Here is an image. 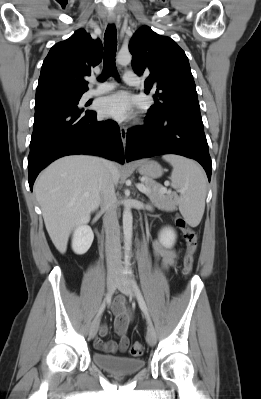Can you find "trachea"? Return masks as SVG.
Wrapping results in <instances>:
<instances>
[{
    "mask_svg": "<svg viewBox=\"0 0 261 399\" xmlns=\"http://www.w3.org/2000/svg\"><path fill=\"white\" fill-rule=\"evenodd\" d=\"M117 48V30L115 25L107 26L104 34V67L102 75L99 77L100 81H104L109 76H117L115 66V56Z\"/></svg>",
    "mask_w": 261,
    "mask_h": 399,
    "instance_id": "1",
    "label": "trachea"
}]
</instances>
